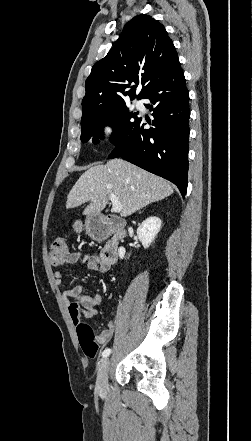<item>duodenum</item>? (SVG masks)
<instances>
[{
	"mask_svg": "<svg viewBox=\"0 0 252 441\" xmlns=\"http://www.w3.org/2000/svg\"><path fill=\"white\" fill-rule=\"evenodd\" d=\"M88 230L90 236L95 240H104L108 235H112L101 251L100 258L107 264L115 262L118 256L119 242L126 235L125 224L117 217L106 216L104 223L99 219H90Z\"/></svg>",
	"mask_w": 252,
	"mask_h": 441,
	"instance_id": "obj_1",
	"label": "duodenum"
}]
</instances>
